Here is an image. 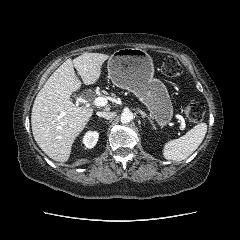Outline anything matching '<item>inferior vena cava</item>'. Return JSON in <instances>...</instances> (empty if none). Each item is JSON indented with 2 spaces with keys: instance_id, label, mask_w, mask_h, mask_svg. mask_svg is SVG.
Returning a JSON list of instances; mask_svg holds the SVG:
<instances>
[{
  "instance_id": "1",
  "label": "inferior vena cava",
  "mask_w": 240,
  "mask_h": 240,
  "mask_svg": "<svg viewBox=\"0 0 240 240\" xmlns=\"http://www.w3.org/2000/svg\"><path fill=\"white\" fill-rule=\"evenodd\" d=\"M99 117H103L105 119H112L115 117V113L114 112H110V111H99L96 113Z\"/></svg>"
}]
</instances>
